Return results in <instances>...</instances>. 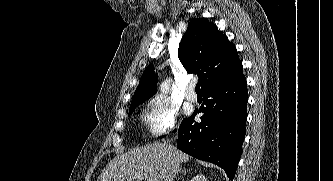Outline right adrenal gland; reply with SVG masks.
<instances>
[{
    "label": "right adrenal gland",
    "instance_id": "1",
    "mask_svg": "<svg viewBox=\"0 0 333 181\" xmlns=\"http://www.w3.org/2000/svg\"><path fill=\"white\" fill-rule=\"evenodd\" d=\"M188 171H190L189 169H184V170H182V169H180V177L178 178V180L177 181H180V180H183V178H184V176L188 173Z\"/></svg>",
    "mask_w": 333,
    "mask_h": 181
}]
</instances>
